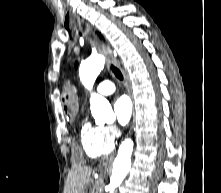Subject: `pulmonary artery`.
I'll list each match as a JSON object with an SVG mask.
<instances>
[{"instance_id":"1","label":"pulmonary artery","mask_w":221,"mask_h":193,"mask_svg":"<svg viewBox=\"0 0 221 193\" xmlns=\"http://www.w3.org/2000/svg\"><path fill=\"white\" fill-rule=\"evenodd\" d=\"M115 91V85L109 80L102 81L97 87V93L100 95H109Z\"/></svg>"}]
</instances>
